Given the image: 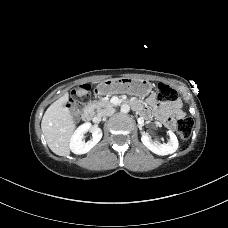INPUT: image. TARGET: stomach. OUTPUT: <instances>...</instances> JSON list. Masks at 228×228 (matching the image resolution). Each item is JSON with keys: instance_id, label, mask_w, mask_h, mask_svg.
<instances>
[{"instance_id": "obj_1", "label": "stomach", "mask_w": 228, "mask_h": 228, "mask_svg": "<svg viewBox=\"0 0 228 228\" xmlns=\"http://www.w3.org/2000/svg\"><path fill=\"white\" fill-rule=\"evenodd\" d=\"M152 91V84L145 79H133L127 77L107 79L98 84V95H113L126 93L139 97H145Z\"/></svg>"}]
</instances>
